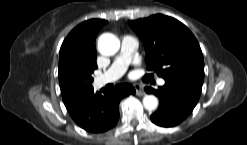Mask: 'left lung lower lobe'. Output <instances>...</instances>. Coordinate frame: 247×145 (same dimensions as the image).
<instances>
[{
	"label": "left lung lower lobe",
	"mask_w": 247,
	"mask_h": 145,
	"mask_svg": "<svg viewBox=\"0 0 247 145\" xmlns=\"http://www.w3.org/2000/svg\"><path fill=\"white\" fill-rule=\"evenodd\" d=\"M202 86L193 82L170 78L165 79V85L157 90L146 87L147 93L159 97L158 110L151 115V120L162 127H173L181 123L196 106Z\"/></svg>",
	"instance_id": "obj_1"
}]
</instances>
